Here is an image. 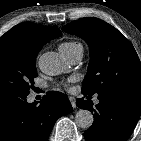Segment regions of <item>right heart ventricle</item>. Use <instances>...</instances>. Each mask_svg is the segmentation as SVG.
Instances as JSON below:
<instances>
[{"label": "right heart ventricle", "instance_id": "right-heart-ventricle-1", "mask_svg": "<svg viewBox=\"0 0 141 141\" xmlns=\"http://www.w3.org/2000/svg\"><path fill=\"white\" fill-rule=\"evenodd\" d=\"M77 47H82L78 42H65L59 46V50L63 51L64 53L69 52Z\"/></svg>", "mask_w": 141, "mask_h": 141}]
</instances>
